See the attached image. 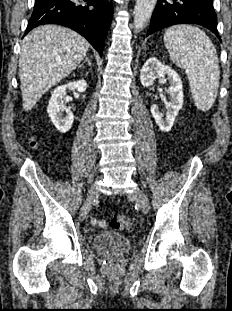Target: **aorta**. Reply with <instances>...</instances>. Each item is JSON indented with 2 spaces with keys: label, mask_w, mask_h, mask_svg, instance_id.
Here are the masks:
<instances>
[{
  "label": "aorta",
  "mask_w": 232,
  "mask_h": 311,
  "mask_svg": "<svg viewBox=\"0 0 232 311\" xmlns=\"http://www.w3.org/2000/svg\"><path fill=\"white\" fill-rule=\"evenodd\" d=\"M157 0H137L134 8V27L140 31L150 19Z\"/></svg>",
  "instance_id": "762f6f07"
}]
</instances>
